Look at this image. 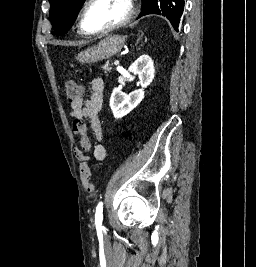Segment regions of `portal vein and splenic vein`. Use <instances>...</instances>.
<instances>
[{
  "mask_svg": "<svg viewBox=\"0 0 256 267\" xmlns=\"http://www.w3.org/2000/svg\"><path fill=\"white\" fill-rule=\"evenodd\" d=\"M114 65L115 66H119L120 65V60L119 59H116L115 62H114Z\"/></svg>",
  "mask_w": 256,
  "mask_h": 267,
  "instance_id": "portal-vein-and-splenic-vein-1",
  "label": "portal vein and splenic vein"
}]
</instances>
